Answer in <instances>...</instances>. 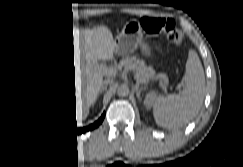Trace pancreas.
<instances>
[{
	"label": "pancreas",
	"mask_w": 243,
	"mask_h": 167,
	"mask_svg": "<svg viewBox=\"0 0 243 167\" xmlns=\"http://www.w3.org/2000/svg\"><path fill=\"white\" fill-rule=\"evenodd\" d=\"M119 68L132 71L135 80L141 84H148L150 80L156 77L155 70L150 66L147 67L143 60H139L135 56L121 60ZM158 77L163 81L164 86L168 85L166 74H159Z\"/></svg>",
	"instance_id": "pancreas-1"
}]
</instances>
